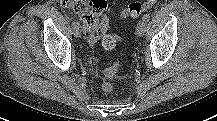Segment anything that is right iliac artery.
<instances>
[{"instance_id": "obj_1", "label": "right iliac artery", "mask_w": 217, "mask_h": 121, "mask_svg": "<svg viewBox=\"0 0 217 121\" xmlns=\"http://www.w3.org/2000/svg\"><path fill=\"white\" fill-rule=\"evenodd\" d=\"M72 26H73V28H78L79 27V23L78 22H76V21H74L73 23H72Z\"/></svg>"}]
</instances>
